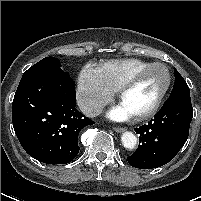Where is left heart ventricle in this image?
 <instances>
[{
    "instance_id": "obj_1",
    "label": "left heart ventricle",
    "mask_w": 201,
    "mask_h": 201,
    "mask_svg": "<svg viewBox=\"0 0 201 201\" xmlns=\"http://www.w3.org/2000/svg\"><path fill=\"white\" fill-rule=\"evenodd\" d=\"M166 72L162 67L151 69L124 95L121 104L136 115L150 108L166 84Z\"/></svg>"
}]
</instances>
